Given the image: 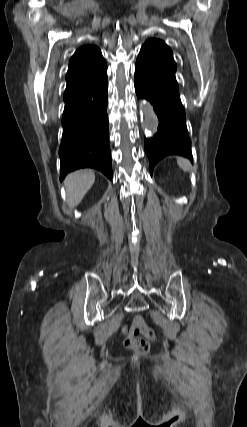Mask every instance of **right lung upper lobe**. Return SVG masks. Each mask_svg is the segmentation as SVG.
<instances>
[{
  "label": "right lung upper lobe",
  "mask_w": 247,
  "mask_h": 427,
  "mask_svg": "<svg viewBox=\"0 0 247 427\" xmlns=\"http://www.w3.org/2000/svg\"><path fill=\"white\" fill-rule=\"evenodd\" d=\"M105 68L106 62L98 47L94 45L80 47L70 59L66 88L96 76Z\"/></svg>",
  "instance_id": "cb5924a9"
}]
</instances>
